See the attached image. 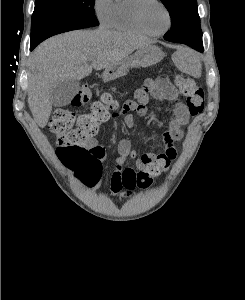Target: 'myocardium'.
I'll use <instances>...</instances> for the list:
<instances>
[{"label": "myocardium", "instance_id": "myocardium-1", "mask_svg": "<svg viewBox=\"0 0 245 300\" xmlns=\"http://www.w3.org/2000/svg\"><path fill=\"white\" fill-rule=\"evenodd\" d=\"M135 4L133 6V18L136 23V25L147 35L150 36H159L164 34L166 31L169 30L172 24V16L170 13L169 8L167 5L162 1V0H135ZM153 2L158 4L165 12L166 17H167V25L164 29L161 31H151L150 29L147 28V26L144 23L143 20V10L144 7L147 3Z\"/></svg>", "mask_w": 245, "mask_h": 300}]
</instances>
